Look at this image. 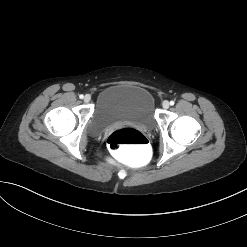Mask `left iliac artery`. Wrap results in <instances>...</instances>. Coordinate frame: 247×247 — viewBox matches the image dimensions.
<instances>
[{
	"mask_svg": "<svg viewBox=\"0 0 247 247\" xmlns=\"http://www.w3.org/2000/svg\"><path fill=\"white\" fill-rule=\"evenodd\" d=\"M175 104V102L172 100V101H170V105H174Z\"/></svg>",
	"mask_w": 247,
	"mask_h": 247,
	"instance_id": "44dca946",
	"label": "left iliac artery"
}]
</instances>
